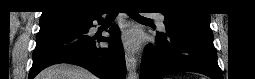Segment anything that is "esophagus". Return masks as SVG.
I'll use <instances>...</instances> for the list:
<instances>
[{
    "label": "esophagus",
    "mask_w": 255,
    "mask_h": 79,
    "mask_svg": "<svg viewBox=\"0 0 255 79\" xmlns=\"http://www.w3.org/2000/svg\"><path fill=\"white\" fill-rule=\"evenodd\" d=\"M125 60H126L127 70L129 71L130 74H134L136 72L137 60L126 49H125Z\"/></svg>",
    "instance_id": "34e87169"
}]
</instances>
